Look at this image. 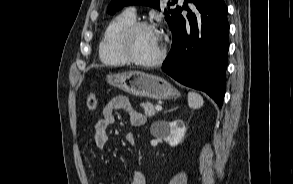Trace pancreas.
<instances>
[{
	"instance_id": "cf45deb5",
	"label": "pancreas",
	"mask_w": 293,
	"mask_h": 184,
	"mask_svg": "<svg viewBox=\"0 0 293 184\" xmlns=\"http://www.w3.org/2000/svg\"><path fill=\"white\" fill-rule=\"evenodd\" d=\"M141 107L147 117H152L156 114L155 106L151 102L141 103Z\"/></svg>"
}]
</instances>
